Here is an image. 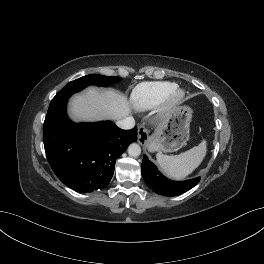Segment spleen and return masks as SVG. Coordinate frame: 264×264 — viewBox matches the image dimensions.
Masks as SVG:
<instances>
[{"mask_svg":"<svg viewBox=\"0 0 264 264\" xmlns=\"http://www.w3.org/2000/svg\"><path fill=\"white\" fill-rule=\"evenodd\" d=\"M207 151V141L179 155H157V162L163 172L170 178L181 180L191 174L202 162Z\"/></svg>","mask_w":264,"mask_h":264,"instance_id":"obj_1","label":"spleen"}]
</instances>
